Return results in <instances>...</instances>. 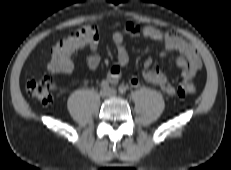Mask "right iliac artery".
<instances>
[{
    "instance_id": "1",
    "label": "right iliac artery",
    "mask_w": 231,
    "mask_h": 170,
    "mask_svg": "<svg viewBox=\"0 0 231 170\" xmlns=\"http://www.w3.org/2000/svg\"><path fill=\"white\" fill-rule=\"evenodd\" d=\"M101 87H102L103 89H107V88L109 87V83H108L106 80H103V81L101 82Z\"/></svg>"
}]
</instances>
